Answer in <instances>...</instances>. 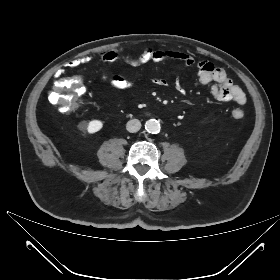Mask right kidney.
<instances>
[{"label": "right kidney", "instance_id": "right-kidney-1", "mask_svg": "<svg viewBox=\"0 0 280 280\" xmlns=\"http://www.w3.org/2000/svg\"><path fill=\"white\" fill-rule=\"evenodd\" d=\"M102 127L103 123L100 120H91L89 122L83 121L79 125L80 130L87 131L90 134L98 132Z\"/></svg>", "mask_w": 280, "mask_h": 280}]
</instances>
